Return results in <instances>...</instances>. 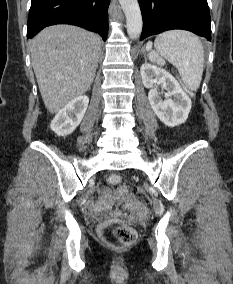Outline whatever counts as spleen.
Returning <instances> with one entry per match:
<instances>
[{"mask_svg": "<svg viewBox=\"0 0 233 284\" xmlns=\"http://www.w3.org/2000/svg\"><path fill=\"white\" fill-rule=\"evenodd\" d=\"M154 46L156 51L148 54L149 59H166L178 69L185 87L197 91L204 69V48L200 39L187 31L172 30L159 34Z\"/></svg>", "mask_w": 233, "mask_h": 284, "instance_id": "1", "label": "spleen"}]
</instances>
